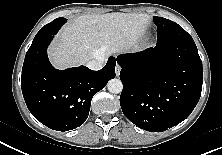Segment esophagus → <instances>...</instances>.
<instances>
[{"label":"esophagus","mask_w":222,"mask_h":155,"mask_svg":"<svg viewBox=\"0 0 222 155\" xmlns=\"http://www.w3.org/2000/svg\"><path fill=\"white\" fill-rule=\"evenodd\" d=\"M120 71H121V67L118 64H116V67H115L116 76H119Z\"/></svg>","instance_id":"1"}]
</instances>
